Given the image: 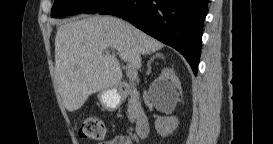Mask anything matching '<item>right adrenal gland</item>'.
Instances as JSON below:
<instances>
[{"instance_id": "1", "label": "right adrenal gland", "mask_w": 273, "mask_h": 144, "mask_svg": "<svg viewBox=\"0 0 273 144\" xmlns=\"http://www.w3.org/2000/svg\"><path fill=\"white\" fill-rule=\"evenodd\" d=\"M162 58V59H164V56H163V54H161V53H156L155 55H153V57H151L150 58V60L148 61V63H147V75H149L150 73H151V63H152V61L155 59V58Z\"/></svg>"}]
</instances>
